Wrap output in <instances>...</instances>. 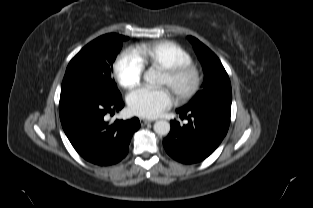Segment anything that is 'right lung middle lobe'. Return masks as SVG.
Wrapping results in <instances>:
<instances>
[{
	"mask_svg": "<svg viewBox=\"0 0 313 208\" xmlns=\"http://www.w3.org/2000/svg\"><path fill=\"white\" fill-rule=\"evenodd\" d=\"M128 37L111 33L87 44L68 64L63 82L70 79L93 86L106 96H121L114 79L112 65Z\"/></svg>",
	"mask_w": 313,
	"mask_h": 208,
	"instance_id": "1",
	"label": "right lung middle lobe"
}]
</instances>
